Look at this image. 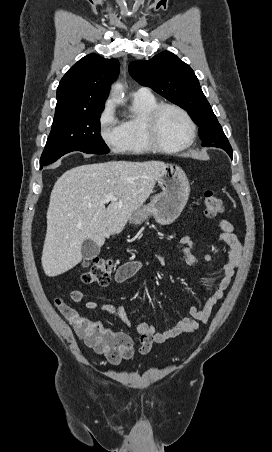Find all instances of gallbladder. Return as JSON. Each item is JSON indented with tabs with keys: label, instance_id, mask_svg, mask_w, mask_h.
<instances>
[{
	"label": "gallbladder",
	"instance_id": "bac80fb5",
	"mask_svg": "<svg viewBox=\"0 0 272 452\" xmlns=\"http://www.w3.org/2000/svg\"><path fill=\"white\" fill-rule=\"evenodd\" d=\"M82 255L86 259H93L100 253V247L91 239H85L81 247Z\"/></svg>",
	"mask_w": 272,
	"mask_h": 452
}]
</instances>
